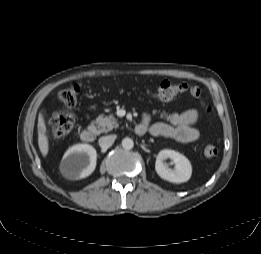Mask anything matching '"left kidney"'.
<instances>
[{
    "label": "left kidney",
    "mask_w": 261,
    "mask_h": 254,
    "mask_svg": "<svg viewBox=\"0 0 261 254\" xmlns=\"http://www.w3.org/2000/svg\"><path fill=\"white\" fill-rule=\"evenodd\" d=\"M167 158L174 161V169L167 168V166L162 162ZM155 170L162 179L172 183L187 182L192 174V166L188 158L179 152L169 149L159 152L155 162Z\"/></svg>",
    "instance_id": "left-kidney-1"
}]
</instances>
